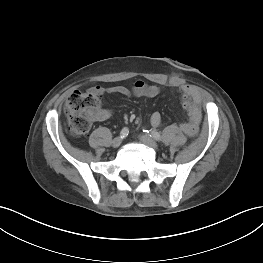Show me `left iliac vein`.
<instances>
[{
  "label": "left iliac vein",
  "instance_id": "4c4485c4",
  "mask_svg": "<svg viewBox=\"0 0 263 263\" xmlns=\"http://www.w3.org/2000/svg\"><path fill=\"white\" fill-rule=\"evenodd\" d=\"M140 140L143 144H145L146 146L157 150L158 149V144L155 142V140H153L152 138H150L148 135H142L140 136Z\"/></svg>",
  "mask_w": 263,
  "mask_h": 263
}]
</instances>
